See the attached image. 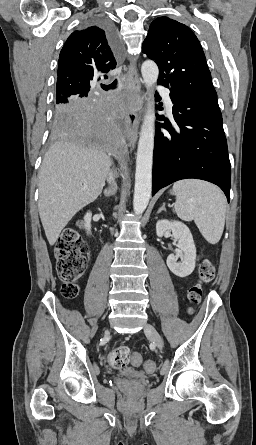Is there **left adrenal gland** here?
Segmentation results:
<instances>
[{"label":"left adrenal gland","instance_id":"1","mask_svg":"<svg viewBox=\"0 0 256 445\" xmlns=\"http://www.w3.org/2000/svg\"><path fill=\"white\" fill-rule=\"evenodd\" d=\"M165 211V203L162 204V207L157 211V213H160L161 211Z\"/></svg>","mask_w":256,"mask_h":445}]
</instances>
